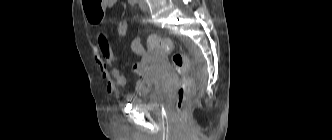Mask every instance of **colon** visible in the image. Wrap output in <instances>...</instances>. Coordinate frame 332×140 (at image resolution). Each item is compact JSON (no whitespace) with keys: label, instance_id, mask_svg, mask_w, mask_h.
I'll return each instance as SVG.
<instances>
[{"label":"colon","instance_id":"colon-1","mask_svg":"<svg viewBox=\"0 0 332 140\" xmlns=\"http://www.w3.org/2000/svg\"><path fill=\"white\" fill-rule=\"evenodd\" d=\"M105 0H83L87 18L99 22L104 13ZM129 25L125 20L118 21L111 26V32L116 37L125 36ZM147 48L151 51H162L171 54V62L175 71L180 76L176 87V113L180 124H184L188 114L195 103L193 97V80L190 75V61L183 53H173L174 44L170 39L151 35L147 38Z\"/></svg>","mask_w":332,"mask_h":140}]
</instances>
